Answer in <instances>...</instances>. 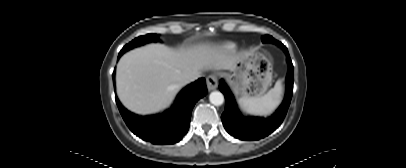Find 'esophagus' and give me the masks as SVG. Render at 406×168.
<instances>
[{"label": "esophagus", "instance_id": "obj_1", "mask_svg": "<svg viewBox=\"0 0 406 168\" xmlns=\"http://www.w3.org/2000/svg\"><path fill=\"white\" fill-rule=\"evenodd\" d=\"M207 89L209 91L215 90L218 86V79L216 75H209L206 79Z\"/></svg>", "mask_w": 406, "mask_h": 168}]
</instances>
